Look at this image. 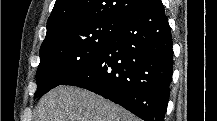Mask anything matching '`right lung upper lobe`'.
Instances as JSON below:
<instances>
[{
  "label": "right lung upper lobe",
  "mask_w": 217,
  "mask_h": 121,
  "mask_svg": "<svg viewBox=\"0 0 217 121\" xmlns=\"http://www.w3.org/2000/svg\"><path fill=\"white\" fill-rule=\"evenodd\" d=\"M152 0H56L47 21L42 46L83 24L99 21L123 23Z\"/></svg>",
  "instance_id": "obj_1"
}]
</instances>
